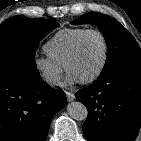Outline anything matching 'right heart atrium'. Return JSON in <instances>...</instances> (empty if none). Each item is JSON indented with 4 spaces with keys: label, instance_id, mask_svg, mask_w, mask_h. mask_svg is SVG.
Here are the masks:
<instances>
[{
    "label": "right heart atrium",
    "instance_id": "1",
    "mask_svg": "<svg viewBox=\"0 0 141 141\" xmlns=\"http://www.w3.org/2000/svg\"><path fill=\"white\" fill-rule=\"evenodd\" d=\"M34 68L41 79L49 86H55L59 83L64 67L55 62L48 55H36L33 59Z\"/></svg>",
    "mask_w": 141,
    "mask_h": 141
}]
</instances>
